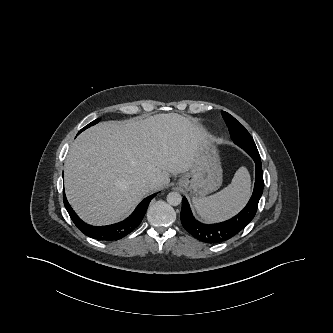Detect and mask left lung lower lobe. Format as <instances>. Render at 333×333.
Wrapping results in <instances>:
<instances>
[{
    "instance_id": "left-lung-lower-lobe-1",
    "label": "left lung lower lobe",
    "mask_w": 333,
    "mask_h": 333,
    "mask_svg": "<svg viewBox=\"0 0 333 333\" xmlns=\"http://www.w3.org/2000/svg\"><path fill=\"white\" fill-rule=\"evenodd\" d=\"M247 153L256 164L255 186L248 204L235 217L217 224L200 223L193 217L188 201L183 197L180 215L181 223L184 229L196 239L211 244L226 241L244 229L254 218L258 202L263 193V171L259 152L249 151Z\"/></svg>"
}]
</instances>
